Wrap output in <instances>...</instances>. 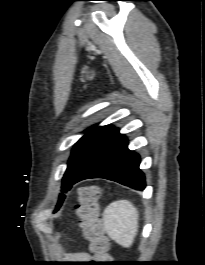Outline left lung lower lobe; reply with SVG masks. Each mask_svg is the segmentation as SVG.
I'll use <instances>...</instances> for the list:
<instances>
[{
  "label": "left lung lower lobe",
  "mask_w": 205,
  "mask_h": 265,
  "mask_svg": "<svg viewBox=\"0 0 205 265\" xmlns=\"http://www.w3.org/2000/svg\"><path fill=\"white\" fill-rule=\"evenodd\" d=\"M127 146V138L120 134L83 169L73 184L84 179L104 178L137 190H144L145 177L139 169L140 157Z\"/></svg>",
  "instance_id": "1"
}]
</instances>
